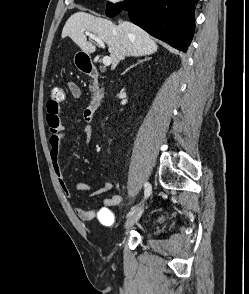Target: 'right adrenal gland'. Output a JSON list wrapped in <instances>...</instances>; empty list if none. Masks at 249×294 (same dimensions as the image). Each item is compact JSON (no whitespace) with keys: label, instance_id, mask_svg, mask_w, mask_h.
<instances>
[{"label":"right adrenal gland","instance_id":"obj_1","mask_svg":"<svg viewBox=\"0 0 249 294\" xmlns=\"http://www.w3.org/2000/svg\"><path fill=\"white\" fill-rule=\"evenodd\" d=\"M150 59H151V57H146V58L143 59V60H139L136 64H134V65L130 66L128 69H126L125 72H127L128 70H130V69L133 68L134 66L138 65L139 63H142V62L147 61V60H150Z\"/></svg>","mask_w":249,"mask_h":294}]
</instances>
